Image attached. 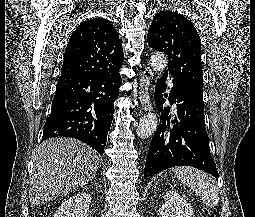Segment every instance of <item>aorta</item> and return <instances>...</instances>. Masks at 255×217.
<instances>
[{
	"mask_svg": "<svg viewBox=\"0 0 255 217\" xmlns=\"http://www.w3.org/2000/svg\"><path fill=\"white\" fill-rule=\"evenodd\" d=\"M151 67L154 71H163L168 65V59L163 53L156 52L152 55ZM158 118L154 113L144 115L137 127V136L141 139L151 136L157 128Z\"/></svg>",
	"mask_w": 255,
	"mask_h": 217,
	"instance_id": "762f6f07",
	"label": "aorta"
}]
</instances>
